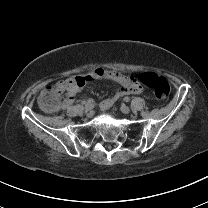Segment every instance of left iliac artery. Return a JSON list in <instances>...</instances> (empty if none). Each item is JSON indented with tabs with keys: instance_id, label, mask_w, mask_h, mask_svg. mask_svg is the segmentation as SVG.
<instances>
[{
	"instance_id": "1",
	"label": "left iliac artery",
	"mask_w": 208,
	"mask_h": 208,
	"mask_svg": "<svg viewBox=\"0 0 208 208\" xmlns=\"http://www.w3.org/2000/svg\"><path fill=\"white\" fill-rule=\"evenodd\" d=\"M124 101H125V102H129V101H130V98H129V97H125V98H124Z\"/></svg>"
}]
</instances>
